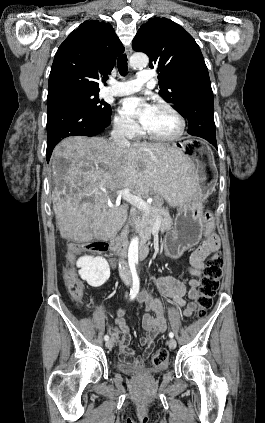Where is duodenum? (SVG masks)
Segmentation results:
<instances>
[{
    "instance_id": "410a0bca",
    "label": "duodenum",
    "mask_w": 265,
    "mask_h": 423,
    "mask_svg": "<svg viewBox=\"0 0 265 423\" xmlns=\"http://www.w3.org/2000/svg\"><path fill=\"white\" fill-rule=\"evenodd\" d=\"M110 248L118 256H123V250L121 248V244L118 238L111 239ZM140 253H141V257L143 258L149 254V247L147 246V244L142 245Z\"/></svg>"
}]
</instances>
